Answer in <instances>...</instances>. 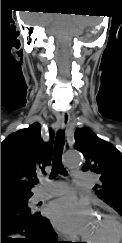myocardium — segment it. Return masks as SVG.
<instances>
[{
    "instance_id": "f54148a6",
    "label": "myocardium",
    "mask_w": 122,
    "mask_h": 243,
    "mask_svg": "<svg viewBox=\"0 0 122 243\" xmlns=\"http://www.w3.org/2000/svg\"><path fill=\"white\" fill-rule=\"evenodd\" d=\"M100 217L107 219L111 223L112 233L105 240L98 241L90 239V243H119L122 239V222L115 215L108 212L101 213Z\"/></svg>"
}]
</instances>
